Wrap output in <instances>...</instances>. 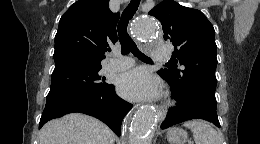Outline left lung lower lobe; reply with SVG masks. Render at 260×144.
<instances>
[{
	"instance_id": "1",
	"label": "left lung lower lobe",
	"mask_w": 260,
	"mask_h": 144,
	"mask_svg": "<svg viewBox=\"0 0 260 144\" xmlns=\"http://www.w3.org/2000/svg\"><path fill=\"white\" fill-rule=\"evenodd\" d=\"M172 96L177 100V104L168 110L167 116L161 124L162 129L192 119L206 120L220 127L214 95L190 89L180 94L172 92Z\"/></svg>"
}]
</instances>
